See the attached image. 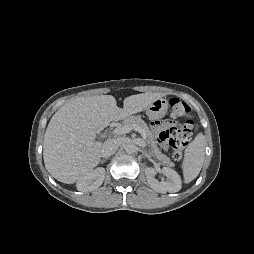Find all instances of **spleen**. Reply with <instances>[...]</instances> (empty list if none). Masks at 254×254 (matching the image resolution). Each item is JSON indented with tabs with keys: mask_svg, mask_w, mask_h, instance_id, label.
Returning <instances> with one entry per match:
<instances>
[{
	"mask_svg": "<svg viewBox=\"0 0 254 254\" xmlns=\"http://www.w3.org/2000/svg\"><path fill=\"white\" fill-rule=\"evenodd\" d=\"M206 137L198 133L185 150L182 170L184 182L194 180L201 171L205 157Z\"/></svg>",
	"mask_w": 254,
	"mask_h": 254,
	"instance_id": "obj_1",
	"label": "spleen"
}]
</instances>
